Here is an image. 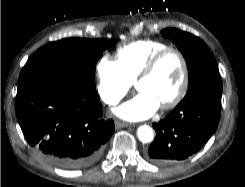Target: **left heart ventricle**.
I'll return each mask as SVG.
<instances>
[{"instance_id":"obj_1","label":"left heart ventricle","mask_w":245,"mask_h":187,"mask_svg":"<svg viewBox=\"0 0 245 187\" xmlns=\"http://www.w3.org/2000/svg\"><path fill=\"white\" fill-rule=\"evenodd\" d=\"M182 78V66L176 54L170 53L161 59L154 72L136 86L138 92L148 93L159 106L177 92Z\"/></svg>"}]
</instances>
